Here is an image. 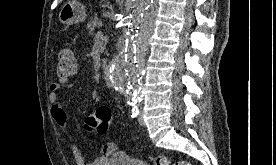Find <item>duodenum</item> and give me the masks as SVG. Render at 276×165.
I'll list each match as a JSON object with an SVG mask.
<instances>
[{
	"mask_svg": "<svg viewBox=\"0 0 276 165\" xmlns=\"http://www.w3.org/2000/svg\"><path fill=\"white\" fill-rule=\"evenodd\" d=\"M103 76L105 78L106 81L110 80V71L108 67H105L103 70Z\"/></svg>",
	"mask_w": 276,
	"mask_h": 165,
	"instance_id": "duodenum-1",
	"label": "duodenum"
}]
</instances>
